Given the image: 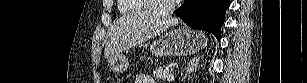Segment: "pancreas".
I'll use <instances>...</instances> for the list:
<instances>
[{
	"label": "pancreas",
	"mask_w": 307,
	"mask_h": 83,
	"mask_svg": "<svg viewBox=\"0 0 307 83\" xmlns=\"http://www.w3.org/2000/svg\"><path fill=\"white\" fill-rule=\"evenodd\" d=\"M171 71L169 69H163L162 67H158L154 70L153 76L154 78L158 80H164L167 78V75H169Z\"/></svg>",
	"instance_id": "obj_1"
}]
</instances>
